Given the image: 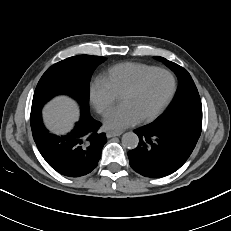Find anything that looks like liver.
<instances>
[{
  "instance_id": "liver-1",
  "label": "liver",
  "mask_w": 231,
  "mask_h": 231,
  "mask_svg": "<svg viewBox=\"0 0 231 231\" xmlns=\"http://www.w3.org/2000/svg\"><path fill=\"white\" fill-rule=\"evenodd\" d=\"M44 123L55 134H65L79 118L76 103L65 96L57 97L43 109Z\"/></svg>"
}]
</instances>
